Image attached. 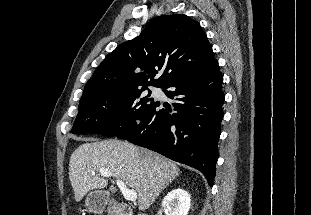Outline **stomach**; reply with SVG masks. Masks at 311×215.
Returning a JSON list of instances; mask_svg holds the SVG:
<instances>
[{"mask_svg": "<svg viewBox=\"0 0 311 215\" xmlns=\"http://www.w3.org/2000/svg\"><path fill=\"white\" fill-rule=\"evenodd\" d=\"M85 206L90 212L97 215L102 214L107 207L108 215H116L117 207L110 199L109 193L105 191H92L85 199Z\"/></svg>", "mask_w": 311, "mask_h": 215, "instance_id": "1", "label": "stomach"}]
</instances>
